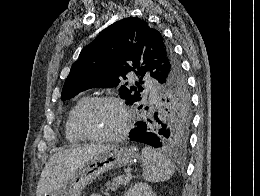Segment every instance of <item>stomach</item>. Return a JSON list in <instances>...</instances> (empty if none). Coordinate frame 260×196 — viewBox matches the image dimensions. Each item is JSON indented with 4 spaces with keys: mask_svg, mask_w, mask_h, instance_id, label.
Wrapping results in <instances>:
<instances>
[{
    "mask_svg": "<svg viewBox=\"0 0 260 196\" xmlns=\"http://www.w3.org/2000/svg\"><path fill=\"white\" fill-rule=\"evenodd\" d=\"M139 158L138 150L134 146H126V148L106 146L101 154L94 156L85 166H80L71 180L62 181V184L67 187H60L58 193L56 191L42 193V196H81L82 190L101 174L114 170V168L132 166L138 162Z\"/></svg>",
    "mask_w": 260,
    "mask_h": 196,
    "instance_id": "stomach-1",
    "label": "stomach"
}]
</instances>
